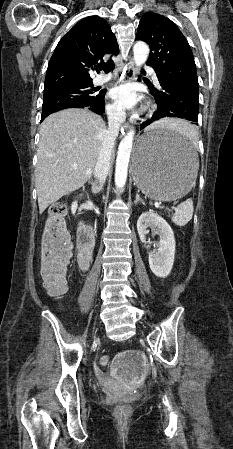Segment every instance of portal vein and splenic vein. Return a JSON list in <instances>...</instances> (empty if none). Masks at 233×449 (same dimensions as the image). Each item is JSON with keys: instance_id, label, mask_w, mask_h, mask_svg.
Instances as JSON below:
<instances>
[{"instance_id": "obj_1", "label": "portal vein and splenic vein", "mask_w": 233, "mask_h": 449, "mask_svg": "<svg viewBox=\"0 0 233 449\" xmlns=\"http://www.w3.org/2000/svg\"><path fill=\"white\" fill-rule=\"evenodd\" d=\"M74 168H76V166H74ZM170 210H175V211H177V209H175V208H173V207H171Z\"/></svg>"}]
</instances>
